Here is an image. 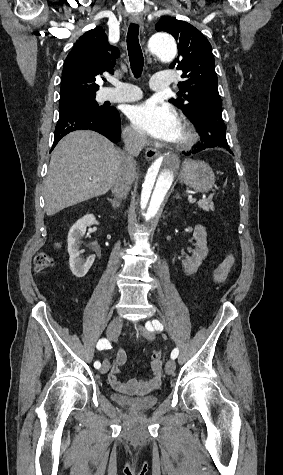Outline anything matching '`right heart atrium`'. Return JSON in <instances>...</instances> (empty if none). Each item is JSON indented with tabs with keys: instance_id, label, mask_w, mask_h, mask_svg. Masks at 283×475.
Listing matches in <instances>:
<instances>
[{
	"instance_id": "obj_1",
	"label": "right heart atrium",
	"mask_w": 283,
	"mask_h": 475,
	"mask_svg": "<svg viewBox=\"0 0 283 475\" xmlns=\"http://www.w3.org/2000/svg\"><path fill=\"white\" fill-rule=\"evenodd\" d=\"M123 137L129 149L141 150L145 145V139L130 127L123 130Z\"/></svg>"
}]
</instances>
